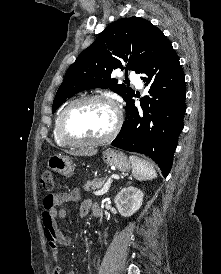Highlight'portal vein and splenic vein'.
<instances>
[{"label": "portal vein and splenic vein", "mask_w": 221, "mask_h": 274, "mask_svg": "<svg viewBox=\"0 0 221 274\" xmlns=\"http://www.w3.org/2000/svg\"><path fill=\"white\" fill-rule=\"evenodd\" d=\"M111 178L118 180L119 176L118 175H112ZM111 178L107 181V183L104 185V187L101 190H98V191L94 192V194L95 195H103V194H105L108 191L109 187H110Z\"/></svg>", "instance_id": "18ae733b"}]
</instances>
